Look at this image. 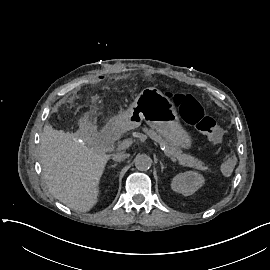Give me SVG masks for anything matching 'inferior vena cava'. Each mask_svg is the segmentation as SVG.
<instances>
[{"label":"inferior vena cava","mask_w":270,"mask_h":270,"mask_svg":"<svg viewBox=\"0 0 270 270\" xmlns=\"http://www.w3.org/2000/svg\"><path fill=\"white\" fill-rule=\"evenodd\" d=\"M129 157V154L125 153V152H119L116 154L112 155V159L116 162H121L123 160H125L126 158Z\"/></svg>","instance_id":"602c4592"}]
</instances>
